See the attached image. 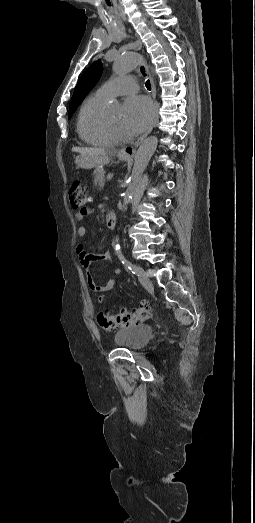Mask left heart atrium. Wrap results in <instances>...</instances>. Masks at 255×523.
<instances>
[{
  "label": "left heart atrium",
  "mask_w": 255,
  "mask_h": 523,
  "mask_svg": "<svg viewBox=\"0 0 255 523\" xmlns=\"http://www.w3.org/2000/svg\"><path fill=\"white\" fill-rule=\"evenodd\" d=\"M153 117V105L145 96L129 97L124 105L123 120L130 133L141 132Z\"/></svg>",
  "instance_id": "1"
}]
</instances>
